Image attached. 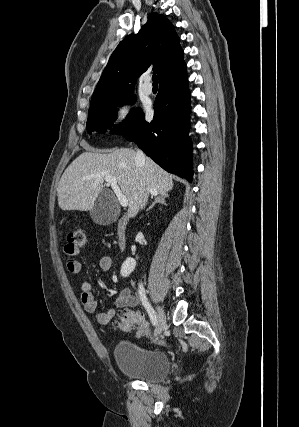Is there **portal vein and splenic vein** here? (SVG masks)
<instances>
[{"label":"portal vein and splenic vein","instance_id":"1","mask_svg":"<svg viewBox=\"0 0 299 427\" xmlns=\"http://www.w3.org/2000/svg\"><path fill=\"white\" fill-rule=\"evenodd\" d=\"M105 181L107 182V185H110L112 187L115 195L118 198L120 205L122 207H127L128 206V200H127L126 196L120 190V188L117 184L116 178L111 176V175H106Z\"/></svg>","mask_w":299,"mask_h":427}]
</instances>
